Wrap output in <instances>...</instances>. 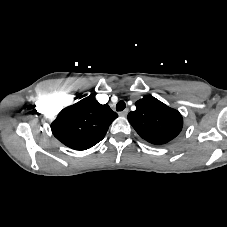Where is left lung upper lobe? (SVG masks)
Returning a JSON list of instances; mask_svg holds the SVG:
<instances>
[{"mask_svg": "<svg viewBox=\"0 0 227 227\" xmlns=\"http://www.w3.org/2000/svg\"><path fill=\"white\" fill-rule=\"evenodd\" d=\"M135 105L136 110L128 114V121L146 141L165 144L181 132L183 118L177 110L153 96H144Z\"/></svg>", "mask_w": 227, "mask_h": 227, "instance_id": "obj_1", "label": "left lung upper lobe"}]
</instances>
